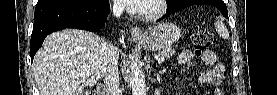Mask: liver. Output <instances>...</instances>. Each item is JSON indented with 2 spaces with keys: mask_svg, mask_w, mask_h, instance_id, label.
Segmentation results:
<instances>
[{
  "mask_svg": "<svg viewBox=\"0 0 277 95\" xmlns=\"http://www.w3.org/2000/svg\"><path fill=\"white\" fill-rule=\"evenodd\" d=\"M107 42L83 30L66 29L46 37L33 62L40 95H82L104 75ZM90 73L86 78L77 76Z\"/></svg>",
  "mask_w": 277,
  "mask_h": 95,
  "instance_id": "liver-1",
  "label": "liver"
}]
</instances>
